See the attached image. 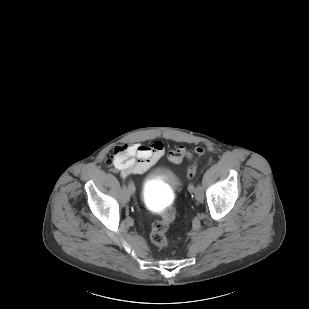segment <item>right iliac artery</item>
<instances>
[{
    "label": "right iliac artery",
    "mask_w": 309,
    "mask_h": 309,
    "mask_svg": "<svg viewBox=\"0 0 309 309\" xmlns=\"http://www.w3.org/2000/svg\"><path fill=\"white\" fill-rule=\"evenodd\" d=\"M127 182H128L129 192H134V185H133L132 177H127Z\"/></svg>",
    "instance_id": "82829eb1"
}]
</instances>
